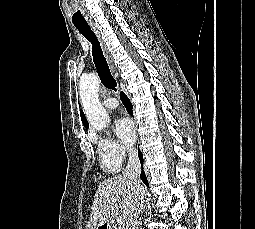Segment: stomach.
I'll use <instances>...</instances> for the list:
<instances>
[{"mask_svg":"<svg viewBox=\"0 0 255 229\" xmlns=\"http://www.w3.org/2000/svg\"><path fill=\"white\" fill-rule=\"evenodd\" d=\"M94 229H100V226H99V227H96V228H94Z\"/></svg>","mask_w":255,"mask_h":229,"instance_id":"1","label":"stomach"}]
</instances>
